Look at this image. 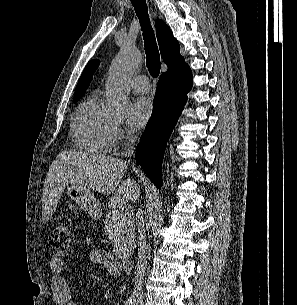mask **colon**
<instances>
[{
    "instance_id": "1",
    "label": "colon",
    "mask_w": 297,
    "mask_h": 305,
    "mask_svg": "<svg viewBox=\"0 0 297 305\" xmlns=\"http://www.w3.org/2000/svg\"><path fill=\"white\" fill-rule=\"evenodd\" d=\"M71 222L66 216L60 217L51 231L46 245L47 254L54 258L69 255L71 241Z\"/></svg>"
}]
</instances>
